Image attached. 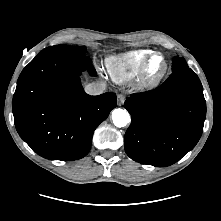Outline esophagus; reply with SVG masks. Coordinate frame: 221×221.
<instances>
[{"label": "esophagus", "mask_w": 221, "mask_h": 221, "mask_svg": "<svg viewBox=\"0 0 221 221\" xmlns=\"http://www.w3.org/2000/svg\"><path fill=\"white\" fill-rule=\"evenodd\" d=\"M125 101V95L123 94H118L117 95V103L119 106H121Z\"/></svg>", "instance_id": "obj_1"}]
</instances>
